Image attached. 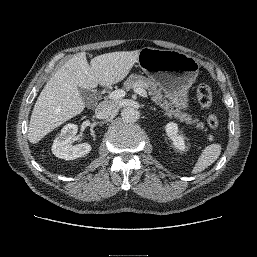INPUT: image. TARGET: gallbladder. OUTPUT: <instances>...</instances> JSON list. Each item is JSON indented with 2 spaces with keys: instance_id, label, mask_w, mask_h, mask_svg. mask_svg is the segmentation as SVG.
<instances>
[{
  "instance_id": "gallbladder-1",
  "label": "gallbladder",
  "mask_w": 257,
  "mask_h": 257,
  "mask_svg": "<svg viewBox=\"0 0 257 257\" xmlns=\"http://www.w3.org/2000/svg\"><path fill=\"white\" fill-rule=\"evenodd\" d=\"M80 94L82 98L87 102L90 98L93 97L94 92L92 90L81 89Z\"/></svg>"
}]
</instances>
